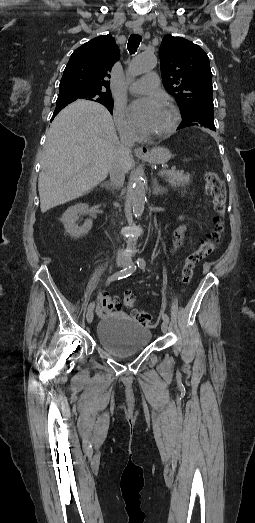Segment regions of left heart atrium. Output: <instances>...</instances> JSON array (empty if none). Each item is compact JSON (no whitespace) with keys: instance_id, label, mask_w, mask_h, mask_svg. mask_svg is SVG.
<instances>
[{"instance_id":"left-heart-atrium-1","label":"left heart atrium","mask_w":255,"mask_h":523,"mask_svg":"<svg viewBox=\"0 0 255 523\" xmlns=\"http://www.w3.org/2000/svg\"><path fill=\"white\" fill-rule=\"evenodd\" d=\"M159 106V102L154 98L134 102L130 107V114L135 125L145 130Z\"/></svg>"}]
</instances>
